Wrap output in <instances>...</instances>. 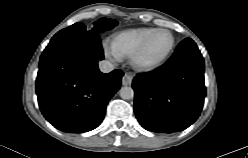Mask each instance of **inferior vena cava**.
I'll return each mask as SVG.
<instances>
[{
    "label": "inferior vena cava",
    "mask_w": 248,
    "mask_h": 158,
    "mask_svg": "<svg viewBox=\"0 0 248 158\" xmlns=\"http://www.w3.org/2000/svg\"><path fill=\"white\" fill-rule=\"evenodd\" d=\"M99 69L103 73H109L114 70V65L108 60H102L99 62Z\"/></svg>",
    "instance_id": "1"
}]
</instances>
